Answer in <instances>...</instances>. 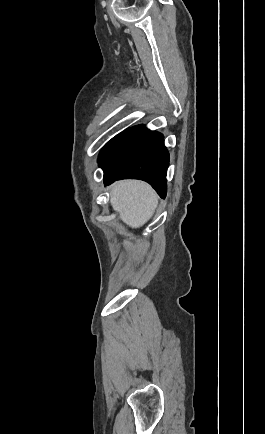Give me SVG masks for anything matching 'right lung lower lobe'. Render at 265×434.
<instances>
[{
    "label": "right lung lower lobe",
    "instance_id": "right-lung-lower-lobe-1",
    "mask_svg": "<svg viewBox=\"0 0 265 434\" xmlns=\"http://www.w3.org/2000/svg\"><path fill=\"white\" fill-rule=\"evenodd\" d=\"M98 160L105 185L119 179H141L165 197L169 154L160 133L141 125L129 128L104 146Z\"/></svg>",
    "mask_w": 265,
    "mask_h": 434
}]
</instances>
